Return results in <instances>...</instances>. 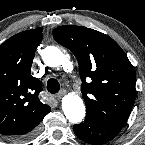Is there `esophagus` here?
<instances>
[{
    "instance_id": "esophagus-1",
    "label": "esophagus",
    "mask_w": 145,
    "mask_h": 145,
    "mask_svg": "<svg viewBox=\"0 0 145 145\" xmlns=\"http://www.w3.org/2000/svg\"><path fill=\"white\" fill-rule=\"evenodd\" d=\"M66 93V91L64 89H62L57 95H56V98L59 100L61 99L64 94Z\"/></svg>"
}]
</instances>
